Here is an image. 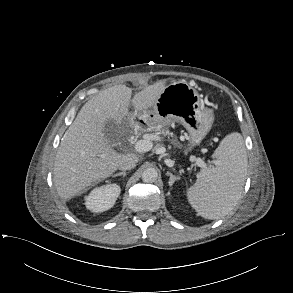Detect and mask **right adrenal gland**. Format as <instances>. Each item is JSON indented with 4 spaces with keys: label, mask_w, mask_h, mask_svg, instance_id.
Segmentation results:
<instances>
[{
    "label": "right adrenal gland",
    "mask_w": 293,
    "mask_h": 293,
    "mask_svg": "<svg viewBox=\"0 0 293 293\" xmlns=\"http://www.w3.org/2000/svg\"><path fill=\"white\" fill-rule=\"evenodd\" d=\"M117 176H126V172H120V173H116L115 175H113V177H117Z\"/></svg>",
    "instance_id": "right-adrenal-gland-1"
}]
</instances>
